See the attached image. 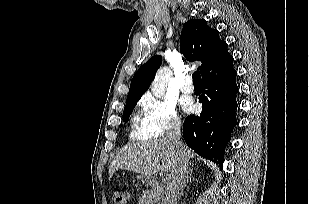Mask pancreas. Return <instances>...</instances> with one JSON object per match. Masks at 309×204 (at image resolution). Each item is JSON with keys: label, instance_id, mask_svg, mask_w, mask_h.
<instances>
[{"label": "pancreas", "instance_id": "pancreas-1", "mask_svg": "<svg viewBox=\"0 0 309 204\" xmlns=\"http://www.w3.org/2000/svg\"><path fill=\"white\" fill-rule=\"evenodd\" d=\"M162 193H163V185L155 183L151 189L143 193V195L141 196V200L157 202L161 199Z\"/></svg>", "mask_w": 309, "mask_h": 204}]
</instances>
